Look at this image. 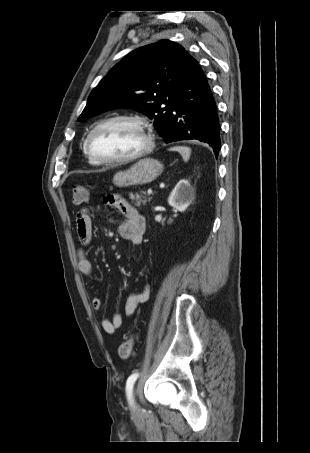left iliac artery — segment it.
Returning a JSON list of instances; mask_svg holds the SVG:
<instances>
[{"instance_id": "left-iliac-artery-1", "label": "left iliac artery", "mask_w": 310, "mask_h": 453, "mask_svg": "<svg viewBox=\"0 0 310 453\" xmlns=\"http://www.w3.org/2000/svg\"><path fill=\"white\" fill-rule=\"evenodd\" d=\"M138 376H139V373L135 372L128 377L127 382H126V393H127V397H128V400L130 401V403H132L133 386H134V383L137 380Z\"/></svg>"}]
</instances>
